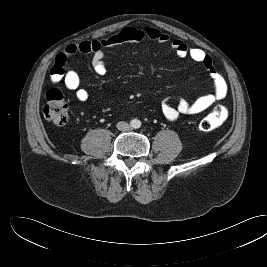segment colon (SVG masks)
Masks as SVG:
<instances>
[{
	"label": "colon",
	"instance_id": "colon-1",
	"mask_svg": "<svg viewBox=\"0 0 267 267\" xmlns=\"http://www.w3.org/2000/svg\"><path fill=\"white\" fill-rule=\"evenodd\" d=\"M43 113L45 118L53 125L62 126L66 124L68 120V105L60 90L50 89L47 92ZM227 117V108L223 105H218L202 119L199 128L203 132L212 131L224 124Z\"/></svg>",
	"mask_w": 267,
	"mask_h": 267
}]
</instances>
